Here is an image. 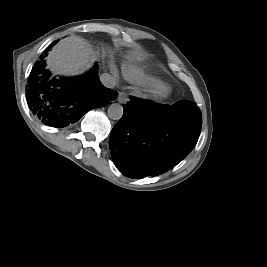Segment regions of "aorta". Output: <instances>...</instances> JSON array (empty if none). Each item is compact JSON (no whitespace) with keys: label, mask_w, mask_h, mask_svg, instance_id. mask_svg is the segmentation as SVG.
<instances>
[{"label":"aorta","mask_w":267,"mask_h":267,"mask_svg":"<svg viewBox=\"0 0 267 267\" xmlns=\"http://www.w3.org/2000/svg\"><path fill=\"white\" fill-rule=\"evenodd\" d=\"M108 117L113 120L121 119L123 115V107L118 103H113L108 107Z\"/></svg>","instance_id":"762f6f07"}]
</instances>
